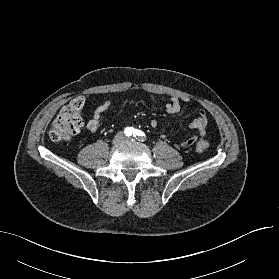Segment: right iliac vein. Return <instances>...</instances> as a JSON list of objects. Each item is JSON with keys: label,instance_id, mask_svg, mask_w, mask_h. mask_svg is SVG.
<instances>
[{"label": "right iliac vein", "instance_id": "63e3f726", "mask_svg": "<svg viewBox=\"0 0 279 279\" xmlns=\"http://www.w3.org/2000/svg\"><path fill=\"white\" fill-rule=\"evenodd\" d=\"M124 137L122 134H118L115 136V138L113 139V143L114 144H118L120 143L121 141H123Z\"/></svg>", "mask_w": 279, "mask_h": 279}]
</instances>
